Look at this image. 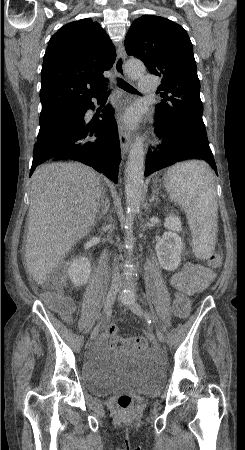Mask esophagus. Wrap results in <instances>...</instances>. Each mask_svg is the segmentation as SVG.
<instances>
[{
    "mask_svg": "<svg viewBox=\"0 0 245 450\" xmlns=\"http://www.w3.org/2000/svg\"><path fill=\"white\" fill-rule=\"evenodd\" d=\"M125 58H126L125 51L123 49V46L120 45V47L118 49V55H117L115 65H114L115 73L120 78L126 77V73H125V69H124ZM119 140H120L122 152L124 154H126L128 152V149H129V146L131 143V134L128 131H126L123 127L119 128Z\"/></svg>",
    "mask_w": 245,
    "mask_h": 450,
    "instance_id": "esophagus-1",
    "label": "esophagus"
}]
</instances>
